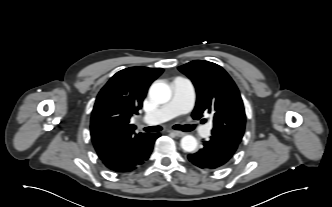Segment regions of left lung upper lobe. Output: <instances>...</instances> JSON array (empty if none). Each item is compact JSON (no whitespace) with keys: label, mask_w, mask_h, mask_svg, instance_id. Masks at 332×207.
I'll return each instance as SVG.
<instances>
[{"label":"left lung upper lobe","mask_w":332,"mask_h":207,"mask_svg":"<svg viewBox=\"0 0 332 207\" xmlns=\"http://www.w3.org/2000/svg\"><path fill=\"white\" fill-rule=\"evenodd\" d=\"M178 69L188 76L197 93L192 117L199 120L204 112L213 115L212 136L238 145L245 129V111L237 86L219 65L195 60Z\"/></svg>","instance_id":"left-lung-upper-lobe-1"}]
</instances>
